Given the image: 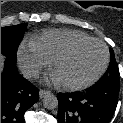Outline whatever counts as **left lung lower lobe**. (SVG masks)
<instances>
[{
    "label": "left lung lower lobe",
    "mask_w": 123,
    "mask_h": 123,
    "mask_svg": "<svg viewBox=\"0 0 123 123\" xmlns=\"http://www.w3.org/2000/svg\"><path fill=\"white\" fill-rule=\"evenodd\" d=\"M119 86L96 83L79 93H59V123H109L118 102Z\"/></svg>",
    "instance_id": "1"
}]
</instances>
